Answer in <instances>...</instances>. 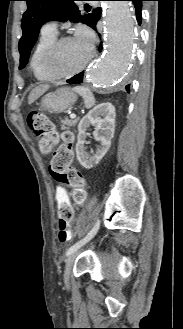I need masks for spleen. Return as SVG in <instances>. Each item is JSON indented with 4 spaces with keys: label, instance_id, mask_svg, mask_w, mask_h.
Masks as SVG:
<instances>
[{
    "label": "spleen",
    "instance_id": "spleen-1",
    "mask_svg": "<svg viewBox=\"0 0 183 329\" xmlns=\"http://www.w3.org/2000/svg\"><path fill=\"white\" fill-rule=\"evenodd\" d=\"M73 91L81 95L84 99L85 107L91 108L95 105V98L92 91L86 87L77 86L73 88Z\"/></svg>",
    "mask_w": 183,
    "mask_h": 329
}]
</instances>
